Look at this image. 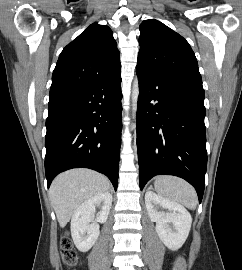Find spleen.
<instances>
[{"mask_svg":"<svg viewBox=\"0 0 242 270\" xmlns=\"http://www.w3.org/2000/svg\"><path fill=\"white\" fill-rule=\"evenodd\" d=\"M155 189L165 199L172 200L189 209H195L197 194L195 189L181 178L173 176H159L154 182Z\"/></svg>","mask_w":242,"mask_h":270,"instance_id":"1","label":"spleen"}]
</instances>
